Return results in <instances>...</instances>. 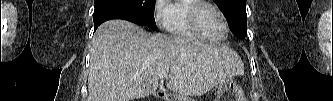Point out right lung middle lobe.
Masks as SVG:
<instances>
[{
  "label": "right lung middle lobe",
  "instance_id": "1",
  "mask_svg": "<svg viewBox=\"0 0 333 101\" xmlns=\"http://www.w3.org/2000/svg\"><path fill=\"white\" fill-rule=\"evenodd\" d=\"M137 15L140 25H146L154 31H158L155 19L154 8L156 0H124ZM97 3V0H95Z\"/></svg>",
  "mask_w": 333,
  "mask_h": 101
}]
</instances>
